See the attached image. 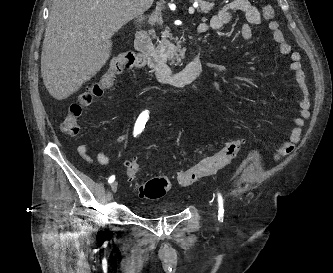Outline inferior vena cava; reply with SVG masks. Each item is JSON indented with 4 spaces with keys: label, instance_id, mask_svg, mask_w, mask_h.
<instances>
[{
    "label": "inferior vena cava",
    "instance_id": "obj_1",
    "mask_svg": "<svg viewBox=\"0 0 333 273\" xmlns=\"http://www.w3.org/2000/svg\"><path fill=\"white\" fill-rule=\"evenodd\" d=\"M129 9L134 15L135 22L137 24H141V22L145 19V2L144 0H130Z\"/></svg>",
    "mask_w": 333,
    "mask_h": 273
}]
</instances>
